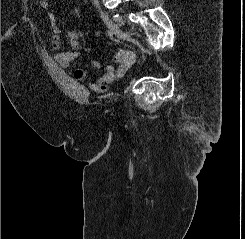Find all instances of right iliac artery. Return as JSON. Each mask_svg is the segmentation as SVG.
Segmentation results:
<instances>
[{"mask_svg": "<svg viewBox=\"0 0 245 239\" xmlns=\"http://www.w3.org/2000/svg\"><path fill=\"white\" fill-rule=\"evenodd\" d=\"M106 33H107V35L110 37V39H112V40L114 39V34H113L112 31L107 30Z\"/></svg>", "mask_w": 245, "mask_h": 239, "instance_id": "obj_1", "label": "right iliac artery"}]
</instances>
